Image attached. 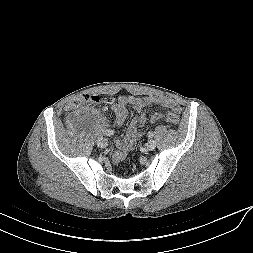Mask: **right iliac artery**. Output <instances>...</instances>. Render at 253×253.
<instances>
[{
	"label": "right iliac artery",
	"mask_w": 253,
	"mask_h": 253,
	"mask_svg": "<svg viewBox=\"0 0 253 253\" xmlns=\"http://www.w3.org/2000/svg\"><path fill=\"white\" fill-rule=\"evenodd\" d=\"M104 134L107 135V136H111V135L114 134V130L106 129V130L104 131Z\"/></svg>",
	"instance_id": "1"
}]
</instances>
